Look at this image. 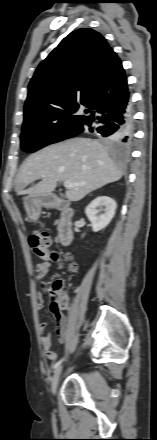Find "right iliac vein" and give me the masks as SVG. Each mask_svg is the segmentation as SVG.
I'll list each match as a JSON object with an SVG mask.
<instances>
[{
    "instance_id": "63e3f726",
    "label": "right iliac vein",
    "mask_w": 157,
    "mask_h": 440,
    "mask_svg": "<svg viewBox=\"0 0 157 440\" xmlns=\"http://www.w3.org/2000/svg\"><path fill=\"white\" fill-rule=\"evenodd\" d=\"M61 372H62V366L58 367L55 370V372L53 374V377L51 379V391H52L53 394L56 393V390H57V387H58V384H59V379H60Z\"/></svg>"
}]
</instances>
